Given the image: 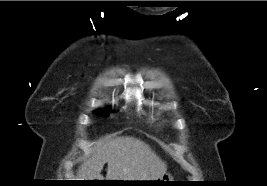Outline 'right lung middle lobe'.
Returning a JSON list of instances; mask_svg holds the SVG:
<instances>
[{"instance_id": "1", "label": "right lung middle lobe", "mask_w": 267, "mask_h": 186, "mask_svg": "<svg viewBox=\"0 0 267 186\" xmlns=\"http://www.w3.org/2000/svg\"><path fill=\"white\" fill-rule=\"evenodd\" d=\"M97 113H98L99 115L107 114V112H106L105 110H99V111H97Z\"/></svg>"}]
</instances>
